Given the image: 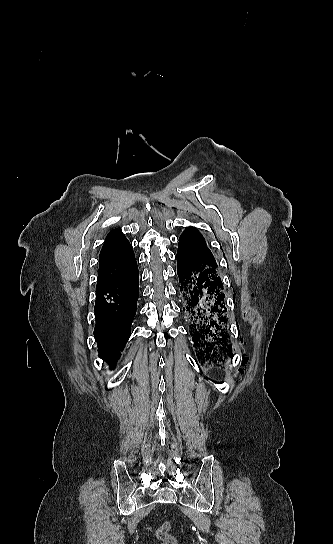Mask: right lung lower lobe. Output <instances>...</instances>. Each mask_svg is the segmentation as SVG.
<instances>
[{
  "mask_svg": "<svg viewBox=\"0 0 333 544\" xmlns=\"http://www.w3.org/2000/svg\"><path fill=\"white\" fill-rule=\"evenodd\" d=\"M139 293L137 263L116 279L96 287L94 335L100 357L114 367L130 337Z\"/></svg>",
  "mask_w": 333,
  "mask_h": 544,
  "instance_id": "1",
  "label": "right lung lower lobe"
}]
</instances>
